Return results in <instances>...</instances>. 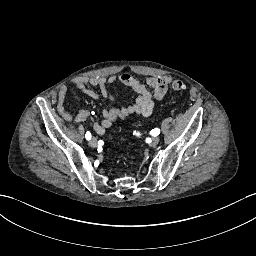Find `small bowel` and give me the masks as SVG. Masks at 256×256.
Returning a JSON list of instances; mask_svg holds the SVG:
<instances>
[{"instance_id": "c3829d8e", "label": "small bowel", "mask_w": 256, "mask_h": 256, "mask_svg": "<svg viewBox=\"0 0 256 256\" xmlns=\"http://www.w3.org/2000/svg\"><path fill=\"white\" fill-rule=\"evenodd\" d=\"M119 82L137 94L135 101L127 106L113 107L103 110V118L100 122L93 125L94 131L103 136L106 130L118 119H125L133 114L148 117L152 114L156 101H161L168 90L171 83L169 76H155L148 78L145 82L139 81L130 73H122L111 76H91L79 77L71 81V85L86 95L97 98L99 96L115 101L116 98L110 93V86ZM96 88L98 91H96ZM67 87L61 86L57 93V111L65 118H70L65 100L67 96ZM78 116L85 118L89 116L88 110H80Z\"/></svg>"}]
</instances>
